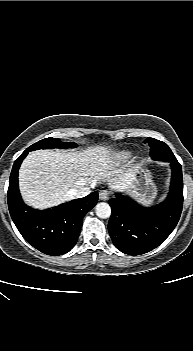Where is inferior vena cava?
<instances>
[{
	"label": "inferior vena cava",
	"instance_id": "1",
	"mask_svg": "<svg viewBox=\"0 0 193 351\" xmlns=\"http://www.w3.org/2000/svg\"><path fill=\"white\" fill-rule=\"evenodd\" d=\"M91 193V190L89 187H83L80 189H73L70 191V194L76 198H82Z\"/></svg>",
	"mask_w": 193,
	"mask_h": 351
}]
</instances>
